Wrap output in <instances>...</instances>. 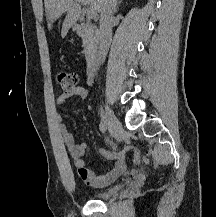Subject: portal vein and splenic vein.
I'll return each mask as SVG.
<instances>
[{
	"label": "portal vein and splenic vein",
	"mask_w": 216,
	"mask_h": 217,
	"mask_svg": "<svg viewBox=\"0 0 216 217\" xmlns=\"http://www.w3.org/2000/svg\"><path fill=\"white\" fill-rule=\"evenodd\" d=\"M77 1L81 5H86L85 0H77ZM86 16L88 19H92L93 17H95V13L90 8H87L86 9Z\"/></svg>",
	"instance_id": "obj_1"
}]
</instances>
